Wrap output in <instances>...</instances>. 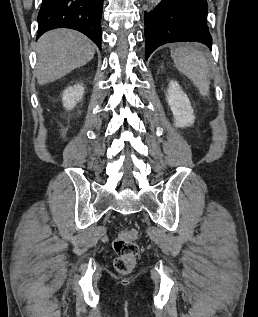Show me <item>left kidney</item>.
<instances>
[{
  "label": "left kidney",
  "instance_id": "obj_1",
  "mask_svg": "<svg viewBox=\"0 0 258 317\" xmlns=\"http://www.w3.org/2000/svg\"><path fill=\"white\" fill-rule=\"evenodd\" d=\"M166 96L173 112L175 126H191L195 118L193 108L186 92L176 80L169 82Z\"/></svg>",
  "mask_w": 258,
  "mask_h": 317
}]
</instances>
